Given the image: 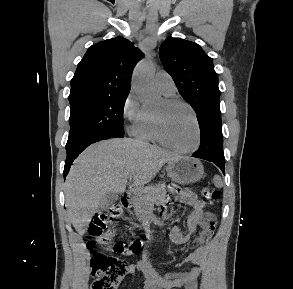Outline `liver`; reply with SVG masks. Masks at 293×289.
Returning a JSON list of instances; mask_svg holds the SVG:
<instances>
[{
    "instance_id": "obj_1",
    "label": "liver",
    "mask_w": 293,
    "mask_h": 289,
    "mask_svg": "<svg viewBox=\"0 0 293 289\" xmlns=\"http://www.w3.org/2000/svg\"><path fill=\"white\" fill-rule=\"evenodd\" d=\"M177 155L130 138H116L89 146L75 160L65 183L69 219L83 235L109 193H122L131 176L135 186L149 183L162 166Z\"/></svg>"
}]
</instances>
